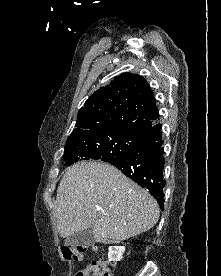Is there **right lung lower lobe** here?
Wrapping results in <instances>:
<instances>
[{"label": "right lung lower lobe", "instance_id": "98d812e1", "mask_svg": "<svg viewBox=\"0 0 221 276\" xmlns=\"http://www.w3.org/2000/svg\"><path fill=\"white\" fill-rule=\"evenodd\" d=\"M162 126L155 124L127 155L109 161L140 186L147 188L164 209V147Z\"/></svg>", "mask_w": 221, "mask_h": 276}]
</instances>
